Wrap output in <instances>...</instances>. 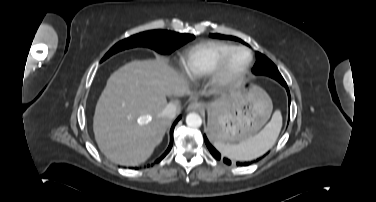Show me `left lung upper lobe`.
<instances>
[{
    "label": "left lung upper lobe",
    "mask_w": 376,
    "mask_h": 202,
    "mask_svg": "<svg viewBox=\"0 0 376 202\" xmlns=\"http://www.w3.org/2000/svg\"><path fill=\"white\" fill-rule=\"evenodd\" d=\"M211 37L220 38V39H229V40H236L243 42L241 39L233 37V36H226L221 34H210ZM256 63L252 69L254 74H262L267 75L280 83L285 82L281 74L279 73L277 67L272 63L265 55L256 52Z\"/></svg>",
    "instance_id": "1"
}]
</instances>
